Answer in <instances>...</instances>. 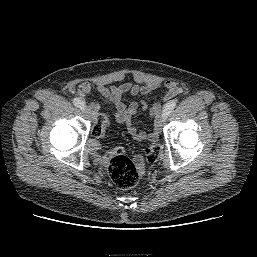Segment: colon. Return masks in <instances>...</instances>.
<instances>
[{
    "label": "colon",
    "instance_id": "obj_1",
    "mask_svg": "<svg viewBox=\"0 0 257 257\" xmlns=\"http://www.w3.org/2000/svg\"><path fill=\"white\" fill-rule=\"evenodd\" d=\"M104 133V127L96 124L92 130L91 148L97 150V139ZM160 147L158 143L151 144L145 151L127 156L123 148L118 147L109 153V174L114 185L121 189L135 186L143 175L145 168L157 159Z\"/></svg>",
    "mask_w": 257,
    "mask_h": 257
}]
</instances>
